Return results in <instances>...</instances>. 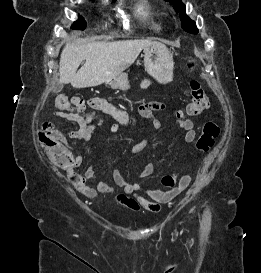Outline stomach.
Here are the masks:
<instances>
[{
  "instance_id": "obj_1",
  "label": "stomach",
  "mask_w": 261,
  "mask_h": 273,
  "mask_svg": "<svg viewBox=\"0 0 261 273\" xmlns=\"http://www.w3.org/2000/svg\"><path fill=\"white\" fill-rule=\"evenodd\" d=\"M144 52V66L147 73L160 83H168L173 78V58L167 47L159 42H152L146 46ZM114 89L127 90L130 88L128 75H119L106 81Z\"/></svg>"
}]
</instances>
